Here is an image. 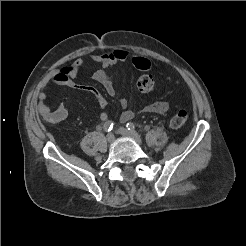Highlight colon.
Masks as SVG:
<instances>
[{"instance_id": "colon-1", "label": "colon", "mask_w": 246, "mask_h": 246, "mask_svg": "<svg viewBox=\"0 0 246 246\" xmlns=\"http://www.w3.org/2000/svg\"><path fill=\"white\" fill-rule=\"evenodd\" d=\"M133 65L142 70L147 71L151 68L150 61L140 55H134L131 57ZM137 87L140 91L149 93L155 89L154 78L149 74L141 75L137 80ZM188 119V113L185 110L178 111L171 119V125L174 128L182 127Z\"/></svg>"}]
</instances>
